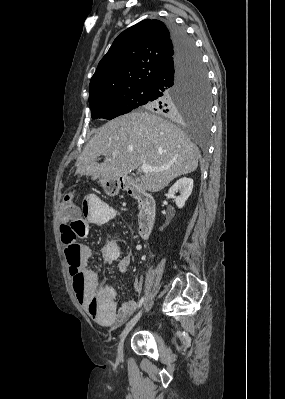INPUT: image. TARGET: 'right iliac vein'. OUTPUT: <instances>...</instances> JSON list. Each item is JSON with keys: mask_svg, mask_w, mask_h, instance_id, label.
I'll return each mask as SVG.
<instances>
[{"mask_svg": "<svg viewBox=\"0 0 285 399\" xmlns=\"http://www.w3.org/2000/svg\"><path fill=\"white\" fill-rule=\"evenodd\" d=\"M143 314V309L140 310L133 319L130 320V322L125 326V328L122 330L120 334V340L117 348L118 356L119 358L123 357V349H124V342L126 340V337L128 336L129 332L132 330V328L135 326V324L139 321Z\"/></svg>", "mask_w": 285, "mask_h": 399, "instance_id": "1", "label": "right iliac vein"}]
</instances>
